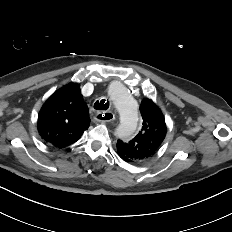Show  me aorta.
<instances>
[{
	"label": "aorta",
	"mask_w": 232,
	"mask_h": 232,
	"mask_svg": "<svg viewBox=\"0 0 232 232\" xmlns=\"http://www.w3.org/2000/svg\"><path fill=\"white\" fill-rule=\"evenodd\" d=\"M109 96L120 117L116 134L122 138H130L138 129V105L121 84L111 86Z\"/></svg>",
	"instance_id": "obj_1"
}]
</instances>
